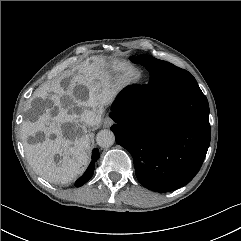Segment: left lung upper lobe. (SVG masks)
<instances>
[{"mask_svg":"<svg viewBox=\"0 0 241 241\" xmlns=\"http://www.w3.org/2000/svg\"><path fill=\"white\" fill-rule=\"evenodd\" d=\"M130 59L134 63L145 66L150 74H162L169 84L172 95H180L192 88L199 87L195 78L188 71L169 62L158 60L146 54L131 57Z\"/></svg>","mask_w":241,"mask_h":241,"instance_id":"left-lung-upper-lobe-1","label":"left lung upper lobe"}]
</instances>
